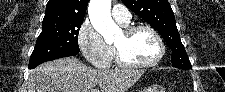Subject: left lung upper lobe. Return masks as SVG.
<instances>
[{
    "label": "left lung upper lobe",
    "mask_w": 225,
    "mask_h": 92,
    "mask_svg": "<svg viewBox=\"0 0 225 92\" xmlns=\"http://www.w3.org/2000/svg\"><path fill=\"white\" fill-rule=\"evenodd\" d=\"M122 2L144 21L154 27L172 50L173 67L191 69V63L181 42L175 16L168 0H122Z\"/></svg>",
    "instance_id": "obj_1"
}]
</instances>
